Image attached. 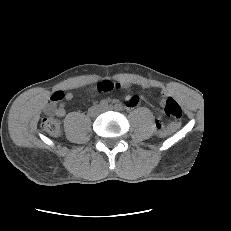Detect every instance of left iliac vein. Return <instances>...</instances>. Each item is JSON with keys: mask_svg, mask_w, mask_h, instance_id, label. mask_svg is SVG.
<instances>
[{"mask_svg": "<svg viewBox=\"0 0 231 231\" xmlns=\"http://www.w3.org/2000/svg\"><path fill=\"white\" fill-rule=\"evenodd\" d=\"M106 110H112L113 109V107L112 106H109V107H107V108H105Z\"/></svg>", "mask_w": 231, "mask_h": 231, "instance_id": "left-iliac-vein-1", "label": "left iliac vein"}]
</instances>
